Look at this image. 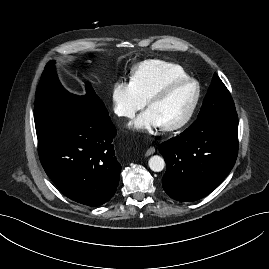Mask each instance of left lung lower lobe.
<instances>
[{
  "mask_svg": "<svg viewBox=\"0 0 269 269\" xmlns=\"http://www.w3.org/2000/svg\"><path fill=\"white\" fill-rule=\"evenodd\" d=\"M167 164L162 185L173 199L199 200L229 174L238 153L236 111L197 118L180 136L159 147Z\"/></svg>",
  "mask_w": 269,
  "mask_h": 269,
  "instance_id": "1",
  "label": "left lung lower lobe"
}]
</instances>
